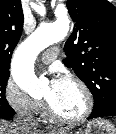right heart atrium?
<instances>
[{
    "instance_id": "right-heart-atrium-1",
    "label": "right heart atrium",
    "mask_w": 116,
    "mask_h": 134,
    "mask_svg": "<svg viewBox=\"0 0 116 134\" xmlns=\"http://www.w3.org/2000/svg\"><path fill=\"white\" fill-rule=\"evenodd\" d=\"M4 99L17 114L35 115L44 107L42 100L31 97L13 79H8L5 84Z\"/></svg>"
}]
</instances>
